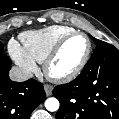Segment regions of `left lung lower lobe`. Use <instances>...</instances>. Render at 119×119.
<instances>
[{
	"label": "left lung lower lobe",
	"mask_w": 119,
	"mask_h": 119,
	"mask_svg": "<svg viewBox=\"0 0 119 119\" xmlns=\"http://www.w3.org/2000/svg\"><path fill=\"white\" fill-rule=\"evenodd\" d=\"M56 119H119V50L108 45L91 56L80 75L58 85Z\"/></svg>",
	"instance_id": "0a47b994"
}]
</instances>
